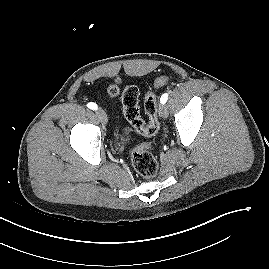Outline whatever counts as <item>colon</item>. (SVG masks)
I'll list each match as a JSON object with an SVG mask.
<instances>
[{"instance_id":"5ec220e1","label":"colon","mask_w":269,"mask_h":269,"mask_svg":"<svg viewBox=\"0 0 269 269\" xmlns=\"http://www.w3.org/2000/svg\"><path fill=\"white\" fill-rule=\"evenodd\" d=\"M167 82L166 76L157 78L154 82L155 87H160ZM111 97H116L120 93V89L116 85H112L108 89ZM122 106L124 115L129 126L124 128V132L129 134L131 129L138 133L151 137L159 130L158 105L153 92L146 93L144 98V111L148 117L145 122L140 116L139 108V91L136 86H127L122 93ZM149 145H143L135 148L130 154V160L135 171L145 179L154 178L158 172V162L149 150Z\"/></svg>"}]
</instances>
